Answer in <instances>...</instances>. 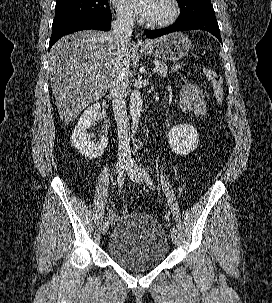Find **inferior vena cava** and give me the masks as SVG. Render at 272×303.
Instances as JSON below:
<instances>
[{
	"label": "inferior vena cava",
	"instance_id": "inferior-vena-cava-1",
	"mask_svg": "<svg viewBox=\"0 0 272 303\" xmlns=\"http://www.w3.org/2000/svg\"><path fill=\"white\" fill-rule=\"evenodd\" d=\"M134 21L131 16L118 14L111 24L112 38L115 45L113 73L110 85V98L117 124L119 160L131 159V150L128 139V119L126 111L125 91L128 87L129 62L128 44L131 41Z\"/></svg>",
	"mask_w": 272,
	"mask_h": 303
}]
</instances>
